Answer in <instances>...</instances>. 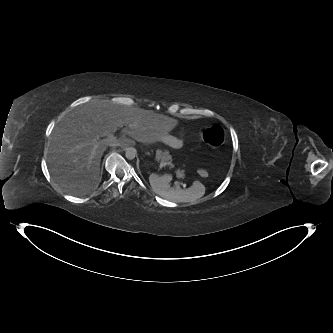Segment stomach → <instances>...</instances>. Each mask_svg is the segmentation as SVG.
Returning <instances> with one entry per match:
<instances>
[{"label":"stomach","instance_id":"1","mask_svg":"<svg viewBox=\"0 0 333 333\" xmlns=\"http://www.w3.org/2000/svg\"><path fill=\"white\" fill-rule=\"evenodd\" d=\"M163 141L169 143V145H171V148H180L183 146L182 141L170 135H166Z\"/></svg>","mask_w":333,"mask_h":333}]
</instances>
